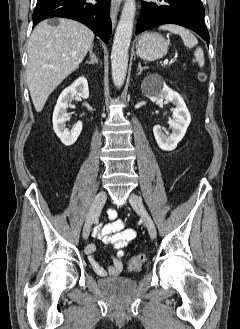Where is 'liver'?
<instances>
[{
    "instance_id": "6515ba94",
    "label": "liver",
    "mask_w": 240,
    "mask_h": 329,
    "mask_svg": "<svg viewBox=\"0 0 240 329\" xmlns=\"http://www.w3.org/2000/svg\"><path fill=\"white\" fill-rule=\"evenodd\" d=\"M39 23L28 41L27 84L37 112L49 95L85 58L92 48L93 32L73 20Z\"/></svg>"
}]
</instances>
